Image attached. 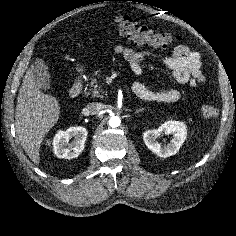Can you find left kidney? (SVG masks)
I'll return each instance as SVG.
<instances>
[{
  "mask_svg": "<svg viewBox=\"0 0 236 236\" xmlns=\"http://www.w3.org/2000/svg\"><path fill=\"white\" fill-rule=\"evenodd\" d=\"M161 134H172L173 138L167 145H160L157 138ZM187 138V127L183 122L167 121L158 129L147 130L143 133L145 145L159 157L167 158L175 155Z\"/></svg>",
  "mask_w": 236,
  "mask_h": 236,
  "instance_id": "5707ae66",
  "label": "left kidney"
}]
</instances>
